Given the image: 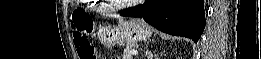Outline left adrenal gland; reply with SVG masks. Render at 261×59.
Returning a JSON list of instances; mask_svg holds the SVG:
<instances>
[{
	"label": "left adrenal gland",
	"mask_w": 261,
	"mask_h": 59,
	"mask_svg": "<svg viewBox=\"0 0 261 59\" xmlns=\"http://www.w3.org/2000/svg\"><path fill=\"white\" fill-rule=\"evenodd\" d=\"M146 56H147V59H153V54L149 50L146 52Z\"/></svg>",
	"instance_id": "obj_1"
}]
</instances>
